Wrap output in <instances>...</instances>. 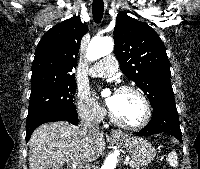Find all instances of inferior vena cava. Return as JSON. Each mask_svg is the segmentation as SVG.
<instances>
[{
  "instance_id": "obj_1",
  "label": "inferior vena cava",
  "mask_w": 200,
  "mask_h": 169,
  "mask_svg": "<svg viewBox=\"0 0 200 169\" xmlns=\"http://www.w3.org/2000/svg\"><path fill=\"white\" fill-rule=\"evenodd\" d=\"M82 129L85 133L87 132H98L99 127L97 124L91 123L89 120L83 119L81 122Z\"/></svg>"
}]
</instances>
